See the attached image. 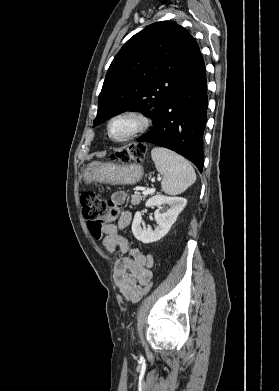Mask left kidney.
<instances>
[{
	"instance_id": "obj_1",
	"label": "left kidney",
	"mask_w": 279,
	"mask_h": 391,
	"mask_svg": "<svg viewBox=\"0 0 279 391\" xmlns=\"http://www.w3.org/2000/svg\"><path fill=\"white\" fill-rule=\"evenodd\" d=\"M164 204L169 205L170 208L165 212H155L154 217L158 225L154 231L151 228H142V214L140 212L135 214L132 222V233L137 240L149 244L164 237L186 206L187 200L183 197H169L158 194L148 199L145 206L151 207L155 205L161 208Z\"/></svg>"
}]
</instances>
